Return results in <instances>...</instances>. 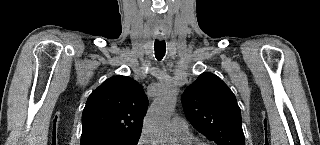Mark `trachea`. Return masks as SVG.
<instances>
[{"label":"trachea","instance_id":"trachea-1","mask_svg":"<svg viewBox=\"0 0 320 145\" xmlns=\"http://www.w3.org/2000/svg\"><path fill=\"white\" fill-rule=\"evenodd\" d=\"M155 57L157 60H161L166 52V44L164 40H155L154 43Z\"/></svg>","mask_w":320,"mask_h":145}]
</instances>
